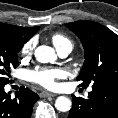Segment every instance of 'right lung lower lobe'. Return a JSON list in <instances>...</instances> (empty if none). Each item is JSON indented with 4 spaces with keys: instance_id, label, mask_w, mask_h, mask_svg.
<instances>
[{
    "instance_id": "1",
    "label": "right lung lower lobe",
    "mask_w": 118,
    "mask_h": 118,
    "mask_svg": "<svg viewBox=\"0 0 118 118\" xmlns=\"http://www.w3.org/2000/svg\"><path fill=\"white\" fill-rule=\"evenodd\" d=\"M0 85V118H30L32 109L39 96L22 86L14 98Z\"/></svg>"
}]
</instances>
